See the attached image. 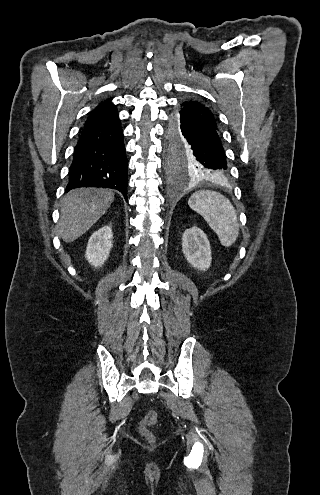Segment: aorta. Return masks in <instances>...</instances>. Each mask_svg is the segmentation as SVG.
Here are the masks:
<instances>
[{
	"label": "aorta",
	"mask_w": 320,
	"mask_h": 495,
	"mask_svg": "<svg viewBox=\"0 0 320 495\" xmlns=\"http://www.w3.org/2000/svg\"><path fill=\"white\" fill-rule=\"evenodd\" d=\"M185 184L184 181H176V187L181 188Z\"/></svg>",
	"instance_id": "aorta-1"
}]
</instances>
